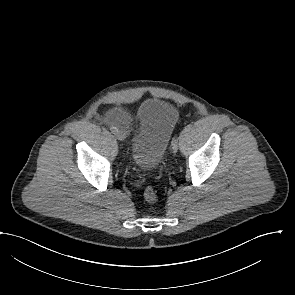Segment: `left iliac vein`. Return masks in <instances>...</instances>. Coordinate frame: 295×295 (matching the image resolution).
Instances as JSON below:
<instances>
[{"label": "left iliac vein", "mask_w": 295, "mask_h": 295, "mask_svg": "<svg viewBox=\"0 0 295 295\" xmlns=\"http://www.w3.org/2000/svg\"><path fill=\"white\" fill-rule=\"evenodd\" d=\"M171 149H172V152H173V153H176V152L178 151V142L173 143V144L171 145Z\"/></svg>", "instance_id": "left-iliac-vein-1"}]
</instances>
